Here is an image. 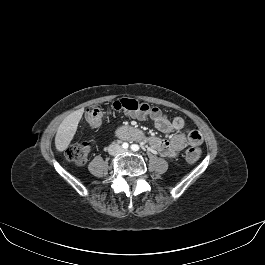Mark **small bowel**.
I'll return each instance as SVG.
<instances>
[{
  "label": "small bowel",
  "instance_id": "small-bowel-1",
  "mask_svg": "<svg viewBox=\"0 0 265 265\" xmlns=\"http://www.w3.org/2000/svg\"><path fill=\"white\" fill-rule=\"evenodd\" d=\"M133 117L139 120H145L147 118L139 114H133ZM151 119L155 127L162 133L174 132L169 139L156 136L147 139L151 148L164 157L175 158L188 144L199 146L202 143V135L196 130L181 133V130L185 127V120L181 117L169 120L164 115H159Z\"/></svg>",
  "mask_w": 265,
  "mask_h": 265
}]
</instances>
